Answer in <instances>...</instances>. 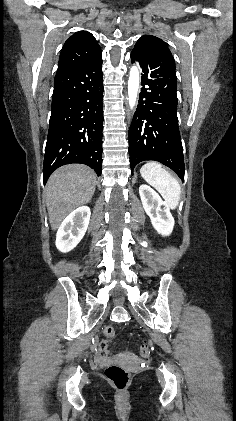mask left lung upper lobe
Listing matches in <instances>:
<instances>
[{
  "label": "left lung upper lobe",
  "mask_w": 236,
  "mask_h": 421,
  "mask_svg": "<svg viewBox=\"0 0 236 421\" xmlns=\"http://www.w3.org/2000/svg\"><path fill=\"white\" fill-rule=\"evenodd\" d=\"M135 46H139L142 48H148V49H159V50H163L166 53H168L169 55L172 56L169 48L167 47V45L165 44L164 41H162L161 39H159L158 37L152 36V35H144L141 38L138 39L137 43Z\"/></svg>",
  "instance_id": "1"
}]
</instances>
